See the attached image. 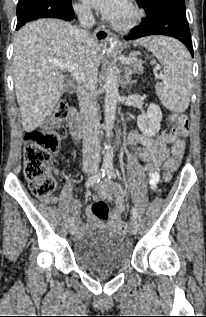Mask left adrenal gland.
<instances>
[{
	"label": "left adrenal gland",
	"mask_w": 206,
	"mask_h": 317,
	"mask_svg": "<svg viewBox=\"0 0 206 317\" xmlns=\"http://www.w3.org/2000/svg\"><path fill=\"white\" fill-rule=\"evenodd\" d=\"M133 71L130 70L129 68L125 67L124 68V84H132V81H131V75H132ZM123 88H125L123 86Z\"/></svg>",
	"instance_id": "obj_1"
}]
</instances>
